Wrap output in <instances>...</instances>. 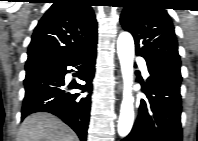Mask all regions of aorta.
<instances>
[{"label": "aorta", "instance_id": "762f6f07", "mask_svg": "<svg viewBox=\"0 0 198 141\" xmlns=\"http://www.w3.org/2000/svg\"><path fill=\"white\" fill-rule=\"evenodd\" d=\"M117 53L123 78V99L120 107L117 130L120 137H126L130 133L134 122L132 84L135 48L134 40L130 33H120L117 40Z\"/></svg>", "mask_w": 198, "mask_h": 141}]
</instances>
